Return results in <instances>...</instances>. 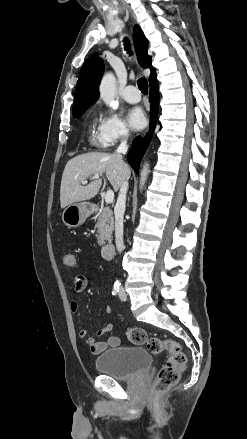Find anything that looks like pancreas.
<instances>
[{
  "label": "pancreas",
  "instance_id": "1",
  "mask_svg": "<svg viewBox=\"0 0 247 439\" xmlns=\"http://www.w3.org/2000/svg\"><path fill=\"white\" fill-rule=\"evenodd\" d=\"M97 223V243L99 246H103L106 241L111 242L112 232L114 229V221L112 216V210L110 208H101L100 212L95 216Z\"/></svg>",
  "mask_w": 247,
  "mask_h": 439
}]
</instances>
